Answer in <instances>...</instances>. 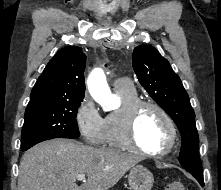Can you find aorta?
<instances>
[{
    "label": "aorta",
    "instance_id": "1",
    "mask_svg": "<svg viewBox=\"0 0 221 190\" xmlns=\"http://www.w3.org/2000/svg\"><path fill=\"white\" fill-rule=\"evenodd\" d=\"M88 90L93 99L104 111H108L114 98L107 84L103 70L97 68L91 72L87 80Z\"/></svg>",
    "mask_w": 221,
    "mask_h": 190
}]
</instances>
